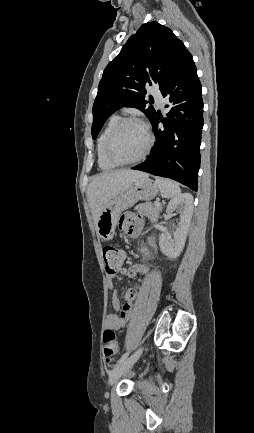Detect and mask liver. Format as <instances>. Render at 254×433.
Masks as SVG:
<instances>
[{
    "mask_svg": "<svg viewBox=\"0 0 254 433\" xmlns=\"http://www.w3.org/2000/svg\"><path fill=\"white\" fill-rule=\"evenodd\" d=\"M147 176L141 171L128 169L103 172L94 176L88 186L87 198L95 223L103 208L115 196L124 192L137 179Z\"/></svg>",
    "mask_w": 254,
    "mask_h": 433,
    "instance_id": "6515ba94",
    "label": "liver"
}]
</instances>
